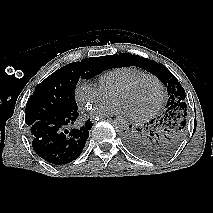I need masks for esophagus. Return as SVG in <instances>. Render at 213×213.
<instances>
[{
	"label": "esophagus",
	"instance_id": "1",
	"mask_svg": "<svg viewBox=\"0 0 213 213\" xmlns=\"http://www.w3.org/2000/svg\"><path fill=\"white\" fill-rule=\"evenodd\" d=\"M99 119H109V120H115L117 119V116L115 115H109V116H100Z\"/></svg>",
	"mask_w": 213,
	"mask_h": 213
}]
</instances>
